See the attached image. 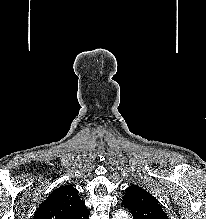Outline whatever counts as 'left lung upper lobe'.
<instances>
[{
  "instance_id": "1",
  "label": "left lung upper lobe",
  "mask_w": 206,
  "mask_h": 219,
  "mask_svg": "<svg viewBox=\"0 0 206 219\" xmlns=\"http://www.w3.org/2000/svg\"><path fill=\"white\" fill-rule=\"evenodd\" d=\"M122 207L127 208L133 219H168L157 200L143 188L131 185L126 189Z\"/></svg>"
}]
</instances>
